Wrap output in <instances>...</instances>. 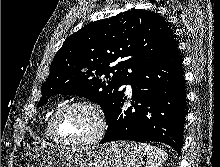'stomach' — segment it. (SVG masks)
<instances>
[{"mask_svg":"<svg viewBox=\"0 0 220 167\" xmlns=\"http://www.w3.org/2000/svg\"><path fill=\"white\" fill-rule=\"evenodd\" d=\"M143 152L135 142H112L89 148H62L31 143L27 167H141Z\"/></svg>","mask_w":220,"mask_h":167,"instance_id":"stomach-1","label":"stomach"}]
</instances>
